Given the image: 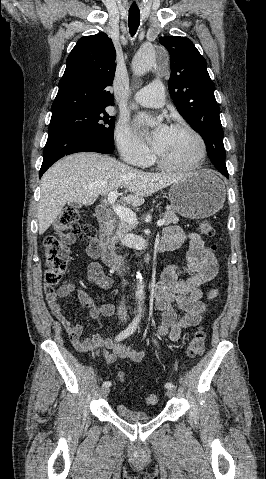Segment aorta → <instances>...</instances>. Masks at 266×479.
Returning <instances> with one entry per match:
<instances>
[{"label": "aorta", "mask_w": 266, "mask_h": 479, "mask_svg": "<svg viewBox=\"0 0 266 479\" xmlns=\"http://www.w3.org/2000/svg\"><path fill=\"white\" fill-rule=\"evenodd\" d=\"M161 58V52L157 47L151 46L138 51L132 60V71L140 76L155 68ZM137 289L135 291L138 300V312H142L144 298V281L140 272H137Z\"/></svg>", "instance_id": "762f6f07"}]
</instances>
